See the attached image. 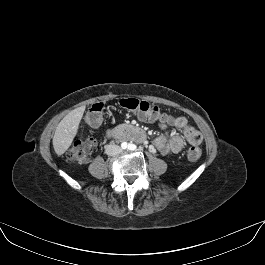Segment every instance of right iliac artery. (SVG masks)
<instances>
[{"instance_id": "82829eb1", "label": "right iliac artery", "mask_w": 265, "mask_h": 265, "mask_svg": "<svg viewBox=\"0 0 265 265\" xmlns=\"http://www.w3.org/2000/svg\"><path fill=\"white\" fill-rule=\"evenodd\" d=\"M122 147L125 149V148H127V144L126 143H123L122 144Z\"/></svg>"}]
</instances>
